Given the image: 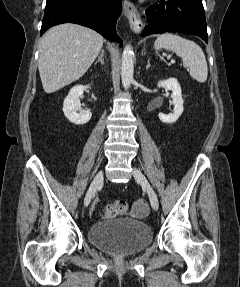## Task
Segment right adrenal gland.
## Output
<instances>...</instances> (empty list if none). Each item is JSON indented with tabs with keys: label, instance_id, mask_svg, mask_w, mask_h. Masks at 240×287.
Here are the masks:
<instances>
[{
	"label": "right adrenal gland",
	"instance_id": "2a0ac1e0",
	"mask_svg": "<svg viewBox=\"0 0 240 287\" xmlns=\"http://www.w3.org/2000/svg\"><path fill=\"white\" fill-rule=\"evenodd\" d=\"M104 53H105V51L102 49L100 56L98 57V60L95 62V64H97L98 62H100L101 64H104V59H103Z\"/></svg>",
	"mask_w": 240,
	"mask_h": 287
}]
</instances>
